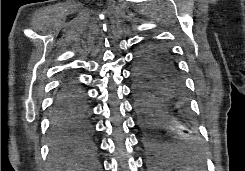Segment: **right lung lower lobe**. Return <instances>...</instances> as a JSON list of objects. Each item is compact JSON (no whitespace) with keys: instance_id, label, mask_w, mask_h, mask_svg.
Returning <instances> with one entry per match:
<instances>
[{"instance_id":"right-lung-lower-lobe-1","label":"right lung lower lobe","mask_w":245,"mask_h":171,"mask_svg":"<svg viewBox=\"0 0 245 171\" xmlns=\"http://www.w3.org/2000/svg\"><path fill=\"white\" fill-rule=\"evenodd\" d=\"M52 156L63 157L73 148H88L93 139L92 111L86 91L67 75L55 96L50 119Z\"/></svg>"}]
</instances>
